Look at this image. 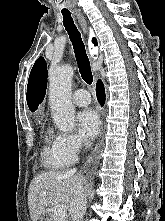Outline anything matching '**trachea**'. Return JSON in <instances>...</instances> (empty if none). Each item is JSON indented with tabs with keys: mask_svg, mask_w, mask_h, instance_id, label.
I'll use <instances>...</instances> for the list:
<instances>
[{
	"mask_svg": "<svg viewBox=\"0 0 165 221\" xmlns=\"http://www.w3.org/2000/svg\"><path fill=\"white\" fill-rule=\"evenodd\" d=\"M63 23L72 42L76 61L82 79L89 85L93 83V75L91 72L90 62L86 54L85 45L82 41L81 34L74 24L71 13L68 10H62Z\"/></svg>",
	"mask_w": 165,
	"mask_h": 221,
	"instance_id": "3493384b",
	"label": "trachea"
}]
</instances>
